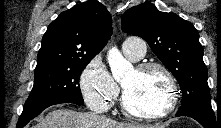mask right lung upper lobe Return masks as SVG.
Listing matches in <instances>:
<instances>
[{"mask_svg":"<svg viewBox=\"0 0 221 128\" xmlns=\"http://www.w3.org/2000/svg\"><path fill=\"white\" fill-rule=\"evenodd\" d=\"M111 26L108 10L96 0L62 12L43 36L35 70L92 60L110 39Z\"/></svg>","mask_w":221,"mask_h":128,"instance_id":"1","label":"right lung upper lobe"}]
</instances>
